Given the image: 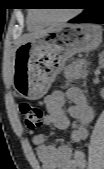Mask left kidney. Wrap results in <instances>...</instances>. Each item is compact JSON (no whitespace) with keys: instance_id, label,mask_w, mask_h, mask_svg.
Wrapping results in <instances>:
<instances>
[{"instance_id":"obj_1","label":"left kidney","mask_w":104,"mask_h":169,"mask_svg":"<svg viewBox=\"0 0 104 169\" xmlns=\"http://www.w3.org/2000/svg\"><path fill=\"white\" fill-rule=\"evenodd\" d=\"M100 63H103V57L102 56L100 57Z\"/></svg>"}]
</instances>
